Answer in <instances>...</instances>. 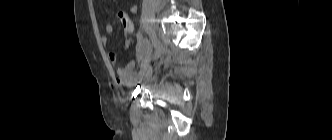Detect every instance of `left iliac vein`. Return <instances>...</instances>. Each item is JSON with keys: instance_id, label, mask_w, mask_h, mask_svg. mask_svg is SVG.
<instances>
[{"instance_id": "left-iliac-vein-1", "label": "left iliac vein", "mask_w": 332, "mask_h": 140, "mask_svg": "<svg viewBox=\"0 0 332 140\" xmlns=\"http://www.w3.org/2000/svg\"><path fill=\"white\" fill-rule=\"evenodd\" d=\"M164 47L162 43L158 40L156 48H155V53H154V60L158 59L161 54L163 53Z\"/></svg>"}]
</instances>
